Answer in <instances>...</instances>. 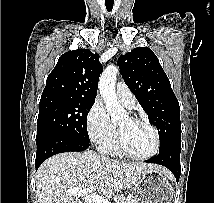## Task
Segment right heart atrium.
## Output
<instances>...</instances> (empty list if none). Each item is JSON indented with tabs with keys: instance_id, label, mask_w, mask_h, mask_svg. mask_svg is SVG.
Returning <instances> with one entry per match:
<instances>
[{
	"instance_id": "1",
	"label": "right heart atrium",
	"mask_w": 214,
	"mask_h": 203,
	"mask_svg": "<svg viewBox=\"0 0 214 203\" xmlns=\"http://www.w3.org/2000/svg\"><path fill=\"white\" fill-rule=\"evenodd\" d=\"M90 139L101 147L116 136V125L110 120L100 100H95L86 116Z\"/></svg>"
}]
</instances>
